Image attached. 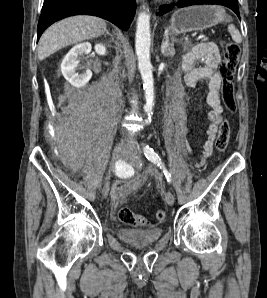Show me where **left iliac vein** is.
<instances>
[{"instance_id": "4c4485c4", "label": "left iliac vein", "mask_w": 267, "mask_h": 298, "mask_svg": "<svg viewBox=\"0 0 267 298\" xmlns=\"http://www.w3.org/2000/svg\"><path fill=\"white\" fill-rule=\"evenodd\" d=\"M126 158L130 159L134 163L137 162L140 159L139 154L136 151H134V152L129 151ZM165 200L169 205L174 204L175 198H174V195L171 191H167L165 193Z\"/></svg>"}]
</instances>
